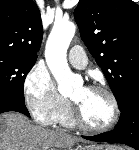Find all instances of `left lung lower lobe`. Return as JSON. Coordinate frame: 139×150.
Here are the masks:
<instances>
[{
	"instance_id": "obj_1",
	"label": "left lung lower lobe",
	"mask_w": 139,
	"mask_h": 150,
	"mask_svg": "<svg viewBox=\"0 0 139 150\" xmlns=\"http://www.w3.org/2000/svg\"><path fill=\"white\" fill-rule=\"evenodd\" d=\"M120 119L114 130L96 136H82L97 142L123 143L139 150V88L132 90L119 107Z\"/></svg>"
}]
</instances>
